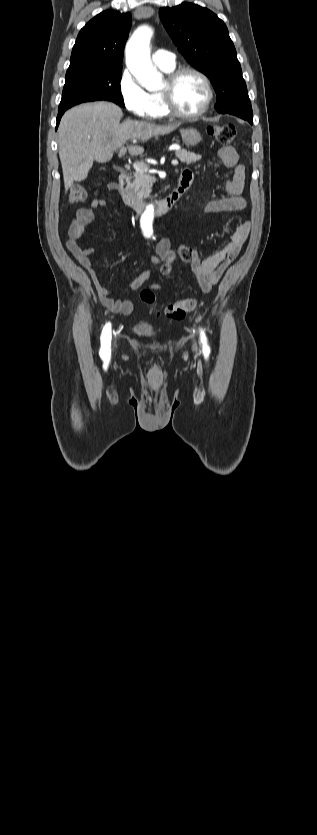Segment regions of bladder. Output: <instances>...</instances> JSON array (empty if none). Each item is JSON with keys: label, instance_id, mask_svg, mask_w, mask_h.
Instances as JSON below:
<instances>
[{"label": "bladder", "instance_id": "bladder-1", "mask_svg": "<svg viewBox=\"0 0 317 835\" xmlns=\"http://www.w3.org/2000/svg\"><path fill=\"white\" fill-rule=\"evenodd\" d=\"M134 332L141 336H148L153 333L152 325L147 321H140L138 322L134 328Z\"/></svg>", "mask_w": 317, "mask_h": 835}]
</instances>
